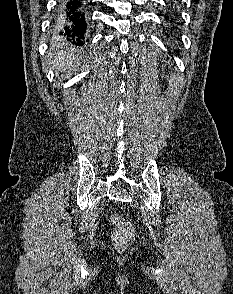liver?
Wrapping results in <instances>:
<instances>
[{
    "mask_svg": "<svg viewBox=\"0 0 233 294\" xmlns=\"http://www.w3.org/2000/svg\"><path fill=\"white\" fill-rule=\"evenodd\" d=\"M49 57L51 59L53 58L51 63L53 65V67L57 69V71L66 70L73 63L72 53L67 54L65 52H55L54 54H52L50 52Z\"/></svg>",
    "mask_w": 233,
    "mask_h": 294,
    "instance_id": "6515ba94",
    "label": "liver"
}]
</instances>
